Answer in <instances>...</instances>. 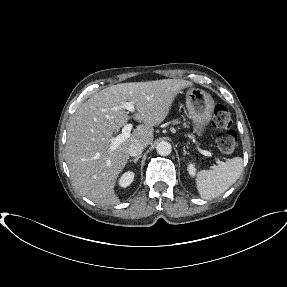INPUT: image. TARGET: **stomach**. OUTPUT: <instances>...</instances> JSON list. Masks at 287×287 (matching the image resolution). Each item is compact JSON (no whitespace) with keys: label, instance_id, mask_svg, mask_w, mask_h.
<instances>
[{"label":"stomach","instance_id":"stomach-1","mask_svg":"<svg viewBox=\"0 0 287 287\" xmlns=\"http://www.w3.org/2000/svg\"><path fill=\"white\" fill-rule=\"evenodd\" d=\"M186 107L194 125V132L202 136L214 112L213 98L202 89L190 88L186 92Z\"/></svg>","mask_w":287,"mask_h":287}]
</instances>
